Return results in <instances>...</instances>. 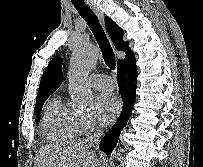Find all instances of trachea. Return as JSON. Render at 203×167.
<instances>
[{
    "mask_svg": "<svg viewBox=\"0 0 203 167\" xmlns=\"http://www.w3.org/2000/svg\"><path fill=\"white\" fill-rule=\"evenodd\" d=\"M76 10L81 17L87 22L91 29L104 58L105 64L111 69L115 70L116 60L113 49L107 39V36L94 12L85 3H74Z\"/></svg>",
    "mask_w": 203,
    "mask_h": 167,
    "instance_id": "trachea-1",
    "label": "trachea"
}]
</instances>
